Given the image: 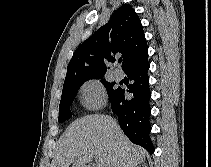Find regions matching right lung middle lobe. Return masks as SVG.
I'll return each mask as SVG.
<instances>
[{
    "mask_svg": "<svg viewBox=\"0 0 211 167\" xmlns=\"http://www.w3.org/2000/svg\"><path fill=\"white\" fill-rule=\"evenodd\" d=\"M103 76H97V77H87L83 78L80 80H77L75 82H71L68 84L63 85V91H62V97L60 101V106H59V118L58 121L64 122L68 118L72 116L71 111H70V106L72 105V102L74 100V97L80 88V86L89 79H100ZM104 86L107 89L108 95H109V100L113 97V95L116 93L117 89H114V82L109 83L105 79L101 80Z\"/></svg>",
    "mask_w": 211,
    "mask_h": 167,
    "instance_id": "obj_1",
    "label": "right lung middle lobe"
}]
</instances>
